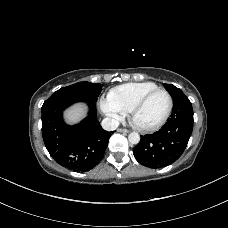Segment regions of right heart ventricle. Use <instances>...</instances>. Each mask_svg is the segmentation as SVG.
Listing matches in <instances>:
<instances>
[{
	"label": "right heart ventricle",
	"instance_id": "e07e8e85",
	"mask_svg": "<svg viewBox=\"0 0 228 228\" xmlns=\"http://www.w3.org/2000/svg\"><path fill=\"white\" fill-rule=\"evenodd\" d=\"M156 88L158 85L149 81L126 83L110 90L108 97L123 113H127L142 96Z\"/></svg>",
	"mask_w": 228,
	"mask_h": 228
}]
</instances>
